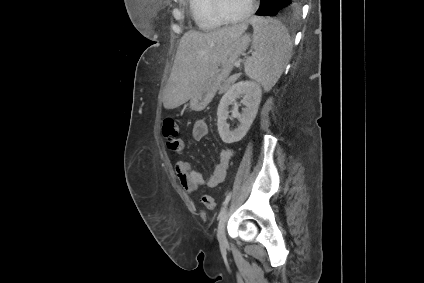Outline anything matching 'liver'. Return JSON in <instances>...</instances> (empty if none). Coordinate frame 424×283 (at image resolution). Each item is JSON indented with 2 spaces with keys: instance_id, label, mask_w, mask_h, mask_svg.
<instances>
[{
  "instance_id": "6515ba94",
  "label": "liver",
  "mask_w": 424,
  "mask_h": 283,
  "mask_svg": "<svg viewBox=\"0 0 424 283\" xmlns=\"http://www.w3.org/2000/svg\"><path fill=\"white\" fill-rule=\"evenodd\" d=\"M247 28L246 22L206 32L185 33L180 39L164 91V107L174 109L190 100L229 44L243 35Z\"/></svg>"
}]
</instances>
